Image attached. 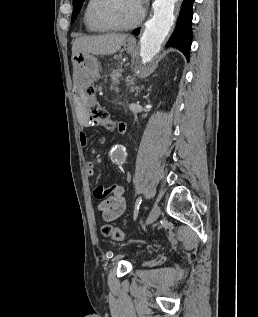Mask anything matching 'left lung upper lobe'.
<instances>
[{
  "instance_id": "obj_1",
  "label": "left lung upper lobe",
  "mask_w": 258,
  "mask_h": 317,
  "mask_svg": "<svg viewBox=\"0 0 258 317\" xmlns=\"http://www.w3.org/2000/svg\"><path fill=\"white\" fill-rule=\"evenodd\" d=\"M84 1L85 0H73L72 22L77 17V15H78V13H79Z\"/></svg>"
}]
</instances>
